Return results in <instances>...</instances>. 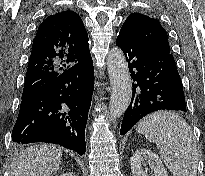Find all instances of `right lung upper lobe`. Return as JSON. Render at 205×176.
<instances>
[{
  "mask_svg": "<svg viewBox=\"0 0 205 176\" xmlns=\"http://www.w3.org/2000/svg\"><path fill=\"white\" fill-rule=\"evenodd\" d=\"M90 56L80 16L64 11L48 16L34 38L22 98Z\"/></svg>",
  "mask_w": 205,
  "mask_h": 176,
  "instance_id": "obj_1",
  "label": "right lung upper lobe"
}]
</instances>
